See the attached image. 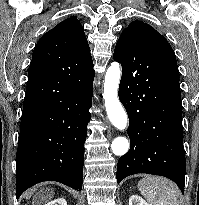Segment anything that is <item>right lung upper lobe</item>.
Segmentation results:
<instances>
[{
	"instance_id": "cb5924a9",
	"label": "right lung upper lobe",
	"mask_w": 199,
	"mask_h": 205,
	"mask_svg": "<svg viewBox=\"0 0 199 205\" xmlns=\"http://www.w3.org/2000/svg\"><path fill=\"white\" fill-rule=\"evenodd\" d=\"M28 84L49 88L25 96L23 112L64 94L75 80L95 74L88 41L76 17H70L46 32L34 48Z\"/></svg>"
}]
</instances>
